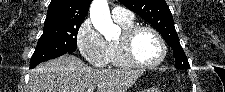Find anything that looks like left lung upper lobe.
Segmentation results:
<instances>
[{"instance_id": "5c2ea615", "label": "left lung upper lobe", "mask_w": 225, "mask_h": 92, "mask_svg": "<svg viewBox=\"0 0 225 92\" xmlns=\"http://www.w3.org/2000/svg\"><path fill=\"white\" fill-rule=\"evenodd\" d=\"M121 4L134 11L155 27L173 49L175 67L189 69L187 57L180 45L173 17L165 0H119Z\"/></svg>"}]
</instances>
